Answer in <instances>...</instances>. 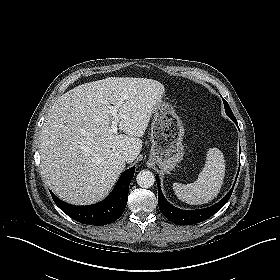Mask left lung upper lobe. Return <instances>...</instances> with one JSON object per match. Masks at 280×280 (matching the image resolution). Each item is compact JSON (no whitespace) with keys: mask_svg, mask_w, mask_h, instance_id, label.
Returning <instances> with one entry per match:
<instances>
[{"mask_svg":"<svg viewBox=\"0 0 280 280\" xmlns=\"http://www.w3.org/2000/svg\"><path fill=\"white\" fill-rule=\"evenodd\" d=\"M223 99V98H222ZM223 103H224V108H225V112L226 114L234 121L237 122L231 108L229 107V104L226 102V100L223 99Z\"/></svg>","mask_w":280,"mask_h":280,"instance_id":"5c2ea615","label":"left lung upper lobe"}]
</instances>
